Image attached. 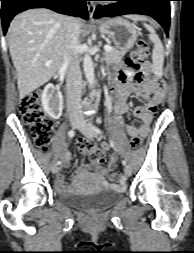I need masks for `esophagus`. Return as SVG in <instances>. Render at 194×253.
I'll use <instances>...</instances> for the list:
<instances>
[{"mask_svg": "<svg viewBox=\"0 0 194 253\" xmlns=\"http://www.w3.org/2000/svg\"><path fill=\"white\" fill-rule=\"evenodd\" d=\"M87 8H88L89 16L90 18H92L95 12V5L91 1H88Z\"/></svg>", "mask_w": 194, "mask_h": 253, "instance_id": "1", "label": "esophagus"}]
</instances>
